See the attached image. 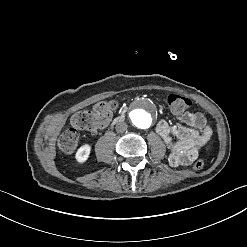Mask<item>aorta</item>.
Returning <instances> with one entry per match:
<instances>
[{"mask_svg":"<svg viewBox=\"0 0 247 247\" xmlns=\"http://www.w3.org/2000/svg\"><path fill=\"white\" fill-rule=\"evenodd\" d=\"M133 122L138 128L146 129L150 126L151 119L148 115L140 112L137 116L134 117Z\"/></svg>","mask_w":247,"mask_h":247,"instance_id":"aorta-1","label":"aorta"}]
</instances>
